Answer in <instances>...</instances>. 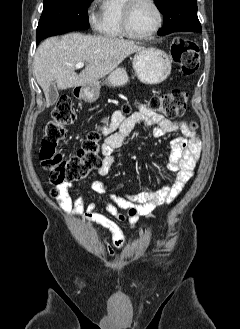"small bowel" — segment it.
Listing matches in <instances>:
<instances>
[{
    "label": "small bowel",
    "instance_id": "obj_1",
    "mask_svg": "<svg viewBox=\"0 0 240 329\" xmlns=\"http://www.w3.org/2000/svg\"><path fill=\"white\" fill-rule=\"evenodd\" d=\"M139 125L151 126L153 137L180 131L182 137H177L171 142V155L167 164L170 171L176 172L173 181L166 180L164 184L150 192L135 195L121 196L111 192V184L93 181L91 189L99 194H106L109 202L106 204L108 215L96 211V203H85L84 195H79L72 200L69 190L72 184L58 185L56 190L59 199L66 209L88 222L104 227L111 236V243H106V250L111 258L116 255V250L126 247L127 239L119 226V222H127L133 231L137 230L139 217L151 218L157 206L172 203L182 192L186 183L193 176V171L200 158L201 147L196 140L195 128L186 120H169L148 107L141 104L137 111L125 114L122 110L116 111L111 121L103 130L101 146V162L96 173L106 176L116 162L115 151L123 144L126 137Z\"/></svg>",
    "mask_w": 240,
    "mask_h": 329
}]
</instances>
